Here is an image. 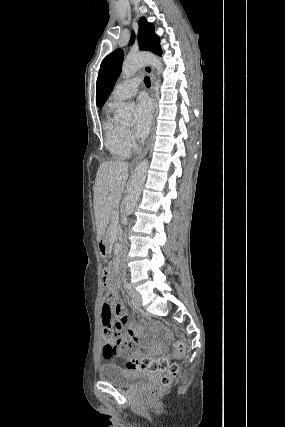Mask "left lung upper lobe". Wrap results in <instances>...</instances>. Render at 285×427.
Instances as JSON below:
<instances>
[{
    "mask_svg": "<svg viewBox=\"0 0 285 427\" xmlns=\"http://www.w3.org/2000/svg\"><path fill=\"white\" fill-rule=\"evenodd\" d=\"M135 35L132 33L130 44H133ZM138 43L141 50H148L157 55H162L160 39L154 32V26L148 22L145 17L139 20ZM124 58L122 49H117L101 63L96 90V104L102 107L110 95L116 80L121 72V66Z\"/></svg>",
    "mask_w": 285,
    "mask_h": 427,
    "instance_id": "obj_1",
    "label": "left lung upper lobe"
}]
</instances>
